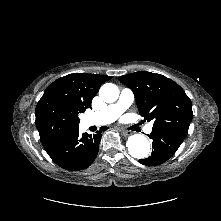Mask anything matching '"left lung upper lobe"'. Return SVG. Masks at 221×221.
Wrapping results in <instances>:
<instances>
[{"mask_svg":"<svg viewBox=\"0 0 221 221\" xmlns=\"http://www.w3.org/2000/svg\"><path fill=\"white\" fill-rule=\"evenodd\" d=\"M119 81L133 91L140 115L154 121L153 129L187 136L192 104L177 83L161 74L142 71L120 76Z\"/></svg>","mask_w":221,"mask_h":221,"instance_id":"5c2ea615","label":"left lung upper lobe"}]
</instances>
